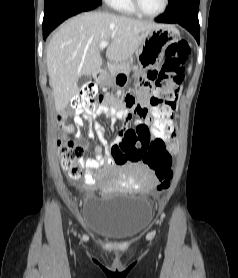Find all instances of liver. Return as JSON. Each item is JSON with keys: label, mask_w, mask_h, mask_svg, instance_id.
<instances>
[{"label": "liver", "mask_w": 238, "mask_h": 278, "mask_svg": "<svg viewBox=\"0 0 238 278\" xmlns=\"http://www.w3.org/2000/svg\"><path fill=\"white\" fill-rule=\"evenodd\" d=\"M158 26L107 12L82 13L63 23L50 39L46 57L57 112L78 93V79L101 68L100 43L110 41L107 58L122 62L138 51L145 33Z\"/></svg>", "instance_id": "liver-1"}]
</instances>
